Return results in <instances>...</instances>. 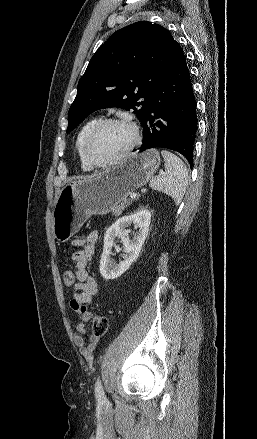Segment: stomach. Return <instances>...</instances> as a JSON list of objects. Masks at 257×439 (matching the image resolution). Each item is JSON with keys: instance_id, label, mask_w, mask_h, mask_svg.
<instances>
[{"instance_id": "0dacf381", "label": "stomach", "mask_w": 257, "mask_h": 439, "mask_svg": "<svg viewBox=\"0 0 257 439\" xmlns=\"http://www.w3.org/2000/svg\"><path fill=\"white\" fill-rule=\"evenodd\" d=\"M160 164L156 149L132 153L118 165L94 176L65 184L55 200L53 232L68 241L92 215H106L144 186Z\"/></svg>"}]
</instances>
